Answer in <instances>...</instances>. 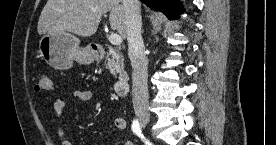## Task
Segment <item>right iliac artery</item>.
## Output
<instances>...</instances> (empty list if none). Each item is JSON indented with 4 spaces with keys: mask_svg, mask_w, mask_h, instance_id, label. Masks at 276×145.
Masks as SVG:
<instances>
[{
    "mask_svg": "<svg viewBox=\"0 0 276 145\" xmlns=\"http://www.w3.org/2000/svg\"><path fill=\"white\" fill-rule=\"evenodd\" d=\"M131 128L134 134L141 135V126L137 119L133 120Z\"/></svg>",
    "mask_w": 276,
    "mask_h": 145,
    "instance_id": "obj_1",
    "label": "right iliac artery"
}]
</instances>
